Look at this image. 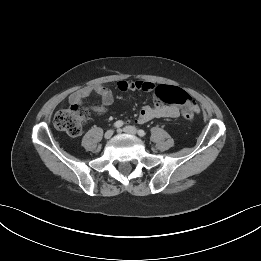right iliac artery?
<instances>
[{
  "label": "right iliac artery",
  "instance_id": "obj_1",
  "mask_svg": "<svg viewBox=\"0 0 261 261\" xmlns=\"http://www.w3.org/2000/svg\"><path fill=\"white\" fill-rule=\"evenodd\" d=\"M123 121H121V120H118V121H116L115 123H114V127L115 128H120V127H122L123 126Z\"/></svg>",
  "mask_w": 261,
  "mask_h": 261
}]
</instances>
